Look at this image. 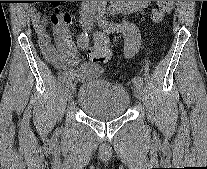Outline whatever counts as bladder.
I'll return each instance as SVG.
<instances>
[{
  "mask_svg": "<svg viewBox=\"0 0 207 169\" xmlns=\"http://www.w3.org/2000/svg\"><path fill=\"white\" fill-rule=\"evenodd\" d=\"M128 90L121 84L103 78L83 83L77 94V106L95 120L121 118L130 106Z\"/></svg>",
  "mask_w": 207,
  "mask_h": 169,
  "instance_id": "bladder-1",
  "label": "bladder"
}]
</instances>
